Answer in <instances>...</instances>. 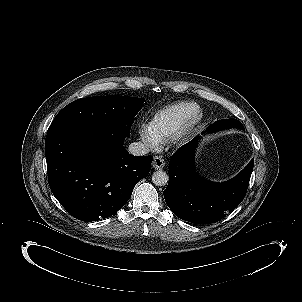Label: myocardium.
Instances as JSON below:
<instances>
[{"label": "myocardium", "mask_w": 302, "mask_h": 302, "mask_svg": "<svg viewBox=\"0 0 302 302\" xmlns=\"http://www.w3.org/2000/svg\"><path fill=\"white\" fill-rule=\"evenodd\" d=\"M204 120V113L198 110L193 113L185 122L174 132L169 138L168 143L172 147H180L184 145L190 137L198 130Z\"/></svg>", "instance_id": "obj_1"}]
</instances>
